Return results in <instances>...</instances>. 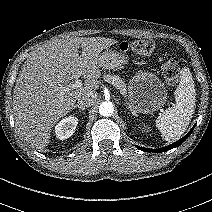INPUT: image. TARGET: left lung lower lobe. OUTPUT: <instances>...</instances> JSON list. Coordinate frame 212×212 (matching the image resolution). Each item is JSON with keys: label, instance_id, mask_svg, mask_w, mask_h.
Listing matches in <instances>:
<instances>
[{"label": "left lung lower lobe", "instance_id": "1", "mask_svg": "<svg viewBox=\"0 0 212 212\" xmlns=\"http://www.w3.org/2000/svg\"><path fill=\"white\" fill-rule=\"evenodd\" d=\"M195 127V126H194ZM194 127L189 131V133L187 135H185L183 138H181L180 140H178L177 142L170 144L168 146H165L163 148H159V149H150V148H142V147H138L139 149H141L142 151L145 152H154V153H161V152H165L168 151L172 148L178 147L179 145H181L191 134V132L193 131Z\"/></svg>", "mask_w": 212, "mask_h": 212}]
</instances>
